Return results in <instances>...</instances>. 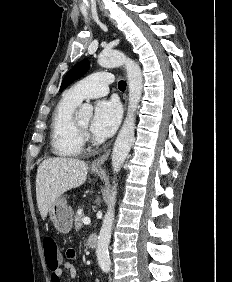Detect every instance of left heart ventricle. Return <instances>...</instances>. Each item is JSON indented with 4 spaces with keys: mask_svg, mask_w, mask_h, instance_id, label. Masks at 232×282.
<instances>
[{
    "mask_svg": "<svg viewBox=\"0 0 232 282\" xmlns=\"http://www.w3.org/2000/svg\"><path fill=\"white\" fill-rule=\"evenodd\" d=\"M77 119L79 123L85 128H89V126L91 125V116L88 114L78 115Z\"/></svg>",
    "mask_w": 232,
    "mask_h": 282,
    "instance_id": "obj_1",
    "label": "left heart ventricle"
}]
</instances>
